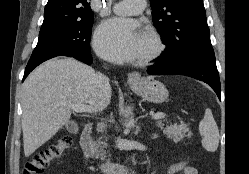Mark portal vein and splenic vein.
<instances>
[{
	"mask_svg": "<svg viewBox=\"0 0 249 174\" xmlns=\"http://www.w3.org/2000/svg\"><path fill=\"white\" fill-rule=\"evenodd\" d=\"M70 108L76 113H94L97 111L92 106L87 105V104H71ZM165 117H166V114L161 113V112L152 115V119L154 120L163 119Z\"/></svg>",
	"mask_w": 249,
	"mask_h": 174,
	"instance_id": "obj_1",
	"label": "portal vein and splenic vein"
}]
</instances>
